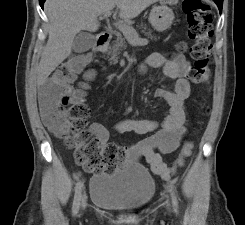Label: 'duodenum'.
<instances>
[{"label":"duodenum","mask_w":245,"mask_h":225,"mask_svg":"<svg viewBox=\"0 0 245 225\" xmlns=\"http://www.w3.org/2000/svg\"><path fill=\"white\" fill-rule=\"evenodd\" d=\"M111 40V34L109 32H99L96 37V49L103 52L106 50Z\"/></svg>","instance_id":"duodenum-1"}]
</instances>
